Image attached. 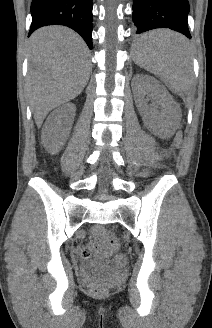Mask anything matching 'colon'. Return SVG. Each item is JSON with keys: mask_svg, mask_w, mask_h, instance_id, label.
<instances>
[{"mask_svg": "<svg viewBox=\"0 0 212 328\" xmlns=\"http://www.w3.org/2000/svg\"><path fill=\"white\" fill-rule=\"evenodd\" d=\"M99 234L103 237L106 244L110 248L118 249L120 247L119 240L117 239V237L113 233H111L107 230H100ZM82 255L86 256L85 253H82ZM115 262H116L117 265L123 266V265L126 264L127 258H126V256H124L122 254H119V255L116 256ZM92 290H93V292H95L97 294H100V293H103L105 291V287L102 283H95V284L92 285Z\"/></svg>", "mask_w": 212, "mask_h": 328, "instance_id": "colon-1", "label": "colon"}]
</instances>
